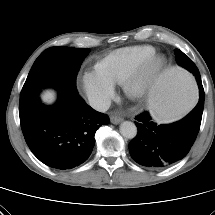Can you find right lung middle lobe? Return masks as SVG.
Returning <instances> with one entry per match:
<instances>
[{
    "instance_id": "1",
    "label": "right lung middle lobe",
    "mask_w": 215,
    "mask_h": 215,
    "mask_svg": "<svg viewBox=\"0 0 215 215\" xmlns=\"http://www.w3.org/2000/svg\"><path fill=\"white\" fill-rule=\"evenodd\" d=\"M88 48L52 47L34 62L20 94V122L27 121L39 105V93L44 87L57 90L75 84L77 73Z\"/></svg>"
}]
</instances>
